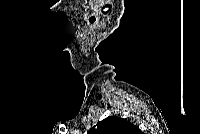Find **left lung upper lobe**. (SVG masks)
Returning a JSON list of instances; mask_svg holds the SVG:
<instances>
[{"instance_id":"obj_1","label":"left lung upper lobe","mask_w":200,"mask_h":134,"mask_svg":"<svg viewBox=\"0 0 200 134\" xmlns=\"http://www.w3.org/2000/svg\"><path fill=\"white\" fill-rule=\"evenodd\" d=\"M88 134H142L140 129L118 116H110L98 122Z\"/></svg>"}]
</instances>
